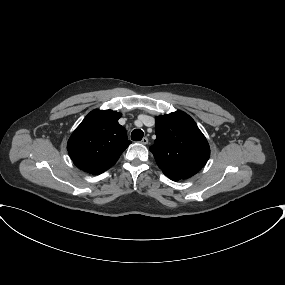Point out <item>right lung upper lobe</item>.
<instances>
[{"mask_svg": "<svg viewBox=\"0 0 285 285\" xmlns=\"http://www.w3.org/2000/svg\"><path fill=\"white\" fill-rule=\"evenodd\" d=\"M121 114L112 110L91 111L67 143L73 163L81 170L98 175L112 167L131 144L118 123Z\"/></svg>", "mask_w": 285, "mask_h": 285, "instance_id": "cb5924a9", "label": "right lung upper lobe"}]
</instances>
